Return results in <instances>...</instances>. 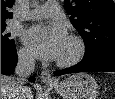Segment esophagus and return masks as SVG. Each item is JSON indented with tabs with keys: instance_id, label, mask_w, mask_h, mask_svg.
<instances>
[{
	"instance_id": "esophagus-1",
	"label": "esophagus",
	"mask_w": 115,
	"mask_h": 99,
	"mask_svg": "<svg viewBox=\"0 0 115 99\" xmlns=\"http://www.w3.org/2000/svg\"><path fill=\"white\" fill-rule=\"evenodd\" d=\"M41 80L46 84H54L56 82L48 71H41Z\"/></svg>"
}]
</instances>
